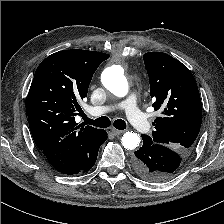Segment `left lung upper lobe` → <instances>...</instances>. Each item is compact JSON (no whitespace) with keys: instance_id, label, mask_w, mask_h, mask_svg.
<instances>
[{"instance_id":"obj_1","label":"left lung upper lobe","mask_w":224,"mask_h":224,"mask_svg":"<svg viewBox=\"0 0 224 224\" xmlns=\"http://www.w3.org/2000/svg\"><path fill=\"white\" fill-rule=\"evenodd\" d=\"M143 59L153 107L162 115L152 123L155 126L152 137L142 135V139L180 153L184 163L194 147L202 122L196 81L185 65L166 53L149 52ZM178 171L165 175L166 179H171Z\"/></svg>"}]
</instances>
